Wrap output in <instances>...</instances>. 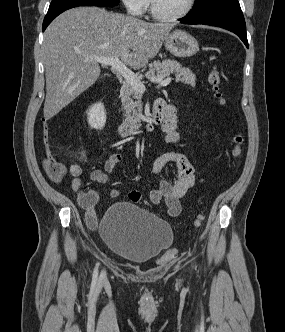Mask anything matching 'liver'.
Wrapping results in <instances>:
<instances>
[{
	"mask_svg": "<svg viewBox=\"0 0 285 332\" xmlns=\"http://www.w3.org/2000/svg\"><path fill=\"white\" fill-rule=\"evenodd\" d=\"M171 28L99 7L59 15L44 33L45 120L100 78L99 64L91 58L118 57L124 65L140 69L157 55Z\"/></svg>",
	"mask_w": 285,
	"mask_h": 332,
	"instance_id": "liver-1",
	"label": "liver"
}]
</instances>
